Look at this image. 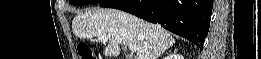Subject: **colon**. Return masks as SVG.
Here are the masks:
<instances>
[{"instance_id":"obj_1","label":"colon","mask_w":261,"mask_h":59,"mask_svg":"<svg viewBox=\"0 0 261 59\" xmlns=\"http://www.w3.org/2000/svg\"><path fill=\"white\" fill-rule=\"evenodd\" d=\"M78 53L81 59H95L92 49L86 44L78 46Z\"/></svg>"}]
</instances>
